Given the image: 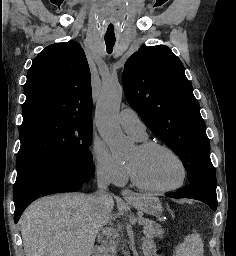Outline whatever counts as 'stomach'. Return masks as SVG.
I'll return each mask as SVG.
<instances>
[{
    "instance_id": "stomach-1",
    "label": "stomach",
    "mask_w": 236,
    "mask_h": 256,
    "mask_svg": "<svg viewBox=\"0 0 236 256\" xmlns=\"http://www.w3.org/2000/svg\"><path fill=\"white\" fill-rule=\"evenodd\" d=\"M137 209L153 216H160L162 213V205L158 198L151 196H143L135 201H129Z\"/></svg>"
}]
</instances>
